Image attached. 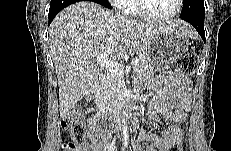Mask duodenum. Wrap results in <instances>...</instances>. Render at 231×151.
I'll use <instances>...</instances> for the list:
<instances>
[{
    "label": "duodenum",
    "mask_w": 231,
    "mask_h": 151,
    "mask_svg": "<svg viewBox=\"0 0 231 151\" xmlns=\"http://www.w3.org/2000/svg\"><path fill=\"white\" fill-rule=\"evenodd\" d=\"M97 90H98V82H95L90 87V95L87 97L88 103L93 102ZM134 113H135V109L132 105L130 96L128 94H124L117 102L116 108L114 109L113 112H105L101 115H96V116L98 117V119L100 117L107 120L108 122L116 121L118 125H120L124 115H133ZM109 138L110 136L107 135V137L105 138V144Z\"/></svg>",
    "instance_id": "obj_1"
}]
</instances>
